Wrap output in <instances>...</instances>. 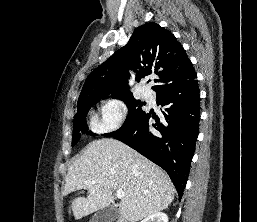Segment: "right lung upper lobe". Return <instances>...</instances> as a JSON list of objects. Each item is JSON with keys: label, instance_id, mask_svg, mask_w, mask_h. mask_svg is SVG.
Listing matches in <instances>:
<instances>
[{"label": "right lung upper lobe", "instance_id": "obj_1", "mask_svg": "<svg viewBox=\"0 0 257 222\" xmlns=\"http://www.w3.org/2000/svg\"><path fill=\"white\" fill-rule=\"evenodd\" d=\"M137 72L136 80L156 74L160 79L152 89L180 84L196 72L184 48L175 36L158 24L149 22L136 28L128 43L115 52L87 77L78 103L95 96L132 95L128 90L129 69Z\"/></svg>", "mask_w": 257, "mask_h": 222}]
</instances>
